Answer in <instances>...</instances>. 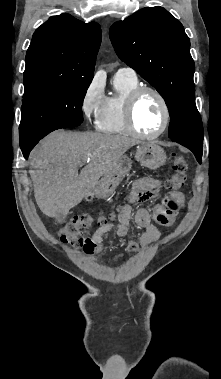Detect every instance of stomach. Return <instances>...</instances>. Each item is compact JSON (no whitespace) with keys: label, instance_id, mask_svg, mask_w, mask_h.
Returning <instances> with one entry per match:
<instances>
[{"label":"stomach","instance_id":"1","mask_svg":"<svg viewBox=\"0 0 221 379\" xmlns=\"http://www.w3.org/2000/svg\"><path fill=\"white\" fill-rule=\"evenodd\" d=\"M135 158L143 166L155 170L166 161L165 151L154 142H145L137 147ZM132 161L127 156H122L117 164L101 178L94 189L97 197L105 198L111 195L122 179L131 170Z\"/></svg>","mask_w":221,"mask_h":379}]
</instances>
